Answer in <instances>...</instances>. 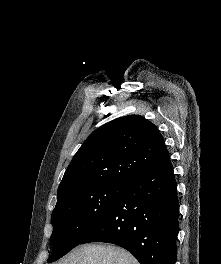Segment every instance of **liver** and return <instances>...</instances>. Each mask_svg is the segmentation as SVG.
<instances>
[{
  "instance_id": "1",
  "label": "liver",
  "mask_w": 221,
  "mask_h": 264,
  "mask_svg": "<svg viewBox=\"0 0 221 264\" xmlns=\"http://www.w3.org/2000/svg\"><path fill=\"white\" fill-rule=\"evenodd\" d=\"M56 264H139L126 250L112 245L88 244Z\"/></svg>"
}]
</instances>
